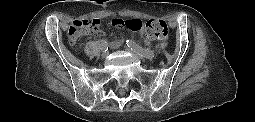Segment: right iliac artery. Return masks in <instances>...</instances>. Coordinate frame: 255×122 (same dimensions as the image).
Masks as SVG:
<instances>
[{"label": "right iliac artery", "mask_w": 255, "mask_h": 122, "mask_svg": "<svg viewBox=\"0 0 255 122\" xmlns=\"http://www.w3.org/2000/svg\"><path fill=\"white\" fill-rule=\"evenodd\" d=\"M101 48H102V50H104V51H107V50H108V42H107L106 40H102Z\"/></svg>", "instance_id": "1"}]
</instances>
